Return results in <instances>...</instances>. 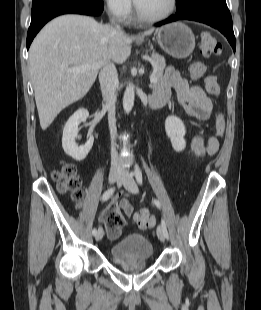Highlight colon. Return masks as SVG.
Listing matches in <instances>:
<instances>
[{
	"instance_id": "1",
	"label": "colon",
	"mask_w": 261,
	"mask_h": 310,
	"mask_svg": "<svg viewBox=\"0 0 261 310\" xmlns=\"http://www.w3.org/2000/svg\"><path fill=\"white\" fill-rule=\"evenodd\" d=\"M199 52L205 57L218 55L221 52V44L212 33L204 31L200 36ZM205 71L206 66L201 61H194L190 66V76L193 80L201 78ZM205 88L211 96H218L220 94V87L215 75L206 76ZM224 130V118L221 114H218L215 119L216 137H222ZM52 177L57 182L60 192L67 193L77 204L81 202L83 197L82 182L74 164L63 163L58 170L53 172ZM133 220L136 226L141 229L152 227L155 223L154 217L147 210L135 212ZM102 221L111 237L119 236L121 228L125 227L127 222L121 214L118 200H110L109 204H106L103 210Z\"/></svg>"
}]
</instances>
